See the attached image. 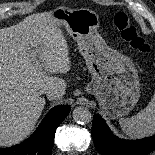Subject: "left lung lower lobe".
<instances>
[{"instance_id": "obj_1", "label": "left lung lower lobe", "mask_w": 155, "mask_h": 155, "mask_svg": "<svg viewBox=\"0 0 155 155\" xmlns=\"http://www.w3.org/2000/svg\"><path fill=\"white\" fill-rule=\"evenodd\" d=\"M92 137L102 155H147L155 149V135L135 141L120 139L97 115L93 116Z\"/></svg>"}]
</instances>
